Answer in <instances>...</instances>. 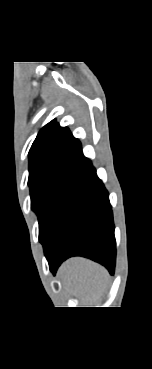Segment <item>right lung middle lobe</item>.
Returning <instances> with one entry per match:
<instances>
[{
	"label": "right lung middle lobe",
	"mask_w": 152,
	"mask_h": 369,
	"mask_svg": "<svg viewBox=\"0 0 152 369\" xmlns=\"http://www.w3.org/2000/svg\"><path fill=\"white\" fill-rule=\"evenodd\" d=\"M79 164H59L29 172L31 208L38 216L39 240L47 236L57 205L80 169Z\"/></svg>",
	"instance_id": "1"
}]
</instances>
